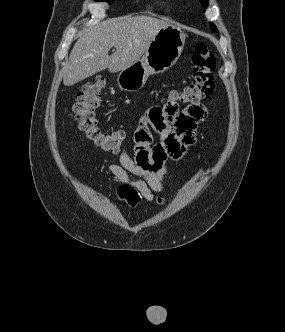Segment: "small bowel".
<instances>
[{
    "instance_id": "1",
    "label": "small bowel",
    "mask_w": 285,
    "mask_h": 332,
    "mask_svg": "<svg viewBox=\"0 0 285 332\" xmlns=\"http://www.w3.org/2000/svg\"><path fill=\"white\" fill-rule=\"evenodd\" d=\"M207 117L201 104L183 110L174 96H163V106H147V112L136 127L134 155L119 150V162L109 165L113 181L118 184L116 196L131 207L142 200L159 202L156 194L164 192L168 158H180L195 143L197 125ZM160 141L153 143V134Z\"/></svg>"
}]
</instances>
